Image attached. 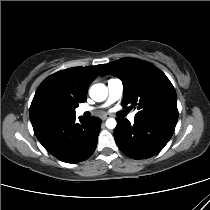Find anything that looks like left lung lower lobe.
<instances>
[{"instance_id": "obj_1", "label": "left lung lower lobe", "mask_w": 210, "mask_h": 210, "mask_svg": "<svg viewBox=\"0 0 210 210\" xmlns=\"http://www.w3.org/2000/svg\"><path fill=\"white\" fill-rule=\"evenodd\" d=\"M114 138L119 149L133 159H145L159 153L170 140L177 122L164 119L116 118Z\"/></svg>"}]
</instances>
